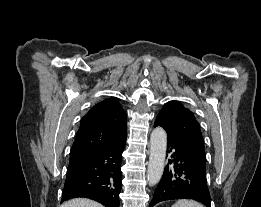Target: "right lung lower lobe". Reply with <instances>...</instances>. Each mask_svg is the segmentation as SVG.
<instances>
[{"label": "right lung lower lobe", "mask_w": 261, "mask_h": 207, "mask_svg": "<svg viewBox=\"0 0 261 207\" xmlns=\"http://www.w3.org/2000/svg\"><path fill=\"white\" fill-rule=\"evenodd\" d=\"M125 141L70 158L61 203L70 198L86 197L106 207H119L121 154Z\"/></svg>", "instance_id": "1"}]
</instances>
